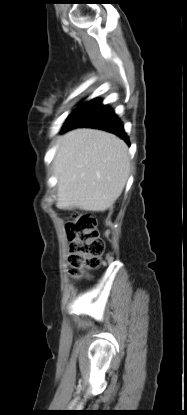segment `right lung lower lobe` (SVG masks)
I'll use <instances>...</instances> for the list:
<instances>
[{
    "label": "right lung lower lobe",
    "instance_id": "98d812e1",
    "mask_svg": "<svg viewBox=\"0 0 187 415\" xmlns=\"http://www.w3.org/2000/svg\"><path fill=\"white\" fill-rule=\"evenodd\" d=\"M79 127L96 128L114 133L129 144L123 124L114 110L103 105L99 99H92L75 109L64 123L63 131Z\"/></svg>",
    "mask_w": 187,
    "mask_h": 415
}]
</instances>
